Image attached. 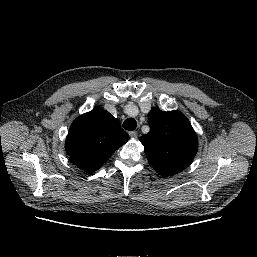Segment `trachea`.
<instances>
[{
  "label": "trachea",
  "instance_id": "1",
  "mask_svg": "<svg viewBox=\"0 0 257 257\" xmlns=\"http://www.w3.org/2000/svg\"><path fill=\"white\" fill-rule=\"evenodd\" d=\"M137 122L133 118H128L123 122V128L129 131H133L136 129Z\"/></svg>",
  "mask_w": 257,
  "mask_h": 257
}]
</instances>
